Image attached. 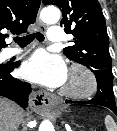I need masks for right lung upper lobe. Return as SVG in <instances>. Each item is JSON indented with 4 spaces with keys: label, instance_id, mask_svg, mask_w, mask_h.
I'll return each instance as SVG.
<instances>
[{
    "label": "right lung upper lobe",
    "instance_id": "right-lung-upper-lobe-1",
    "mask_svg": "<svg viewBox=\"0 0 117 131\" xmlns=\"http://www.w3.org/2000/svg\"><path fill=\"white\" fill-rule=\"evenodd\" d=\"M40 0H0V50L7 46L3 30L13 34L27 32V27L36 20Z\"/></svg>",
    "mask_w": 117,
    "mask_h": 131
}]
</instances>
